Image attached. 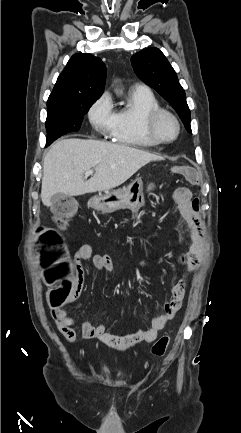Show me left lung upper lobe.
Returning a JSON list of instances; mask_svg holds the SVG:
<instances>
[{
    "instance_id": "5c2ea615",
    "label": "left lung upper lobe",
    "mask_w": 241,
    "mask_h": 433,
    "mask_svg": "<svg viewBox=\"0 0 241 433\" xmlns=\"http://www.w3.org/2000/svg\"><path fill=\"white\" fill-rule=\"evenodd\" d=\"M131 63L136 75L171 104L191 133L190 110L184 89L164 54L158 48H147L134 54Z\"/></svg>"
}]
</instances>
